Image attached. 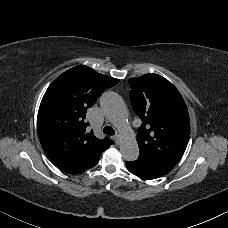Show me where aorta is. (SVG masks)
I'll use <instances>...</instances> for the list:
<instances>
[{
  "mask_svg": "<svg viewBox=\"0 0 228 228\" xmlns=\"http://www.w3.org/2000/svg\"><path fill=\"white\" fill-rule=\"evenodd\" d=\"M100 105L111 123L121 130L120 153L123 159L134 161L139 156V147L134 132L127 128V110L122 98L111 91L102 94Z\"/></svg>",
  "mask_w": 228,
  "mask_h": 228,
  "instance_id": "762f6f07",
  "label": "aorta"
}]
</instances>
